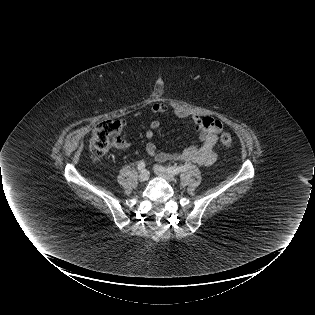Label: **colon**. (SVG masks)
<instances>
[{
    "label": "colon",
    "mask_w": 315,
    "mask_h": 315,
    "mask_svg": "<svg viewBox=\"0 0 315 315\" xmlns=\"http://www.w3.org/2000/svg\"><path fill=\"white\" fill-rule=\"evenodd\" d=\"M121 142V125L119 121H104L99 123L93 131L90 148L94 159L102 157L112 146ZM222 145L228 147L232 144V136L222 133L220 136Z\"/></svg>",
    "instance_id": "obj_1"
}]
</instances>
